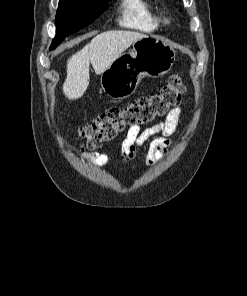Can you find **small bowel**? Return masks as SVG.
Listing matches in <instances>:
<instances>
[{
    "mask_svg": "<svg viewBox=\"0 0 247 296\" xmlns=\"http://www.w3.org/2000/svg\"><path fill=\"white\" fill-rule=\"evenodd\" d=\"M181 115L182 108L177 106L169 112L163 122H158L143 130L139 126H132L122 143L121 164L134 160L138 147L157 134H160V136L150 141L145 153V159L149 167H154L157 163L163 161L173 147L171 136L176 131ZM84 158L97 167L107 166L110 163L108 155L98 152L85 154Z\"/></svg>",
    "mask_w": 247,
    "mask_h": 296,
    "instance_id": "1",
    "label": "small bowel"
}]
</instances>
